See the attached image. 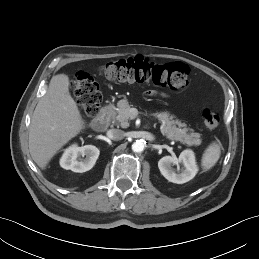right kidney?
I'll return each mask as SVG.
<instances>
[{
  "label": "right kidney",
  "mask_w": 259,
  "mask_h": 259,
  "mask_svg": "<svg viewBox=\"0 0 259 259\" xmlns=\"http://www.w3.org/2000/svg\"><path fill=\"white\" fill-rule=\"evenodd\" d=\"M99 154V149L93 145L78 147L74 144L63 153L60 159V166L66 170L83 173L95 165Z\"/></svg>",
  "instance_id": "ca27d5eb"
}]
</instances>
